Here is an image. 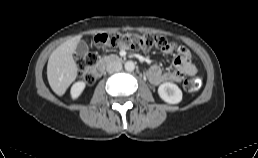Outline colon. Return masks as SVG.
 <instances>
[{
	"mask_svg": "<svg viewBox=\"0 0 258 158\" xmlns=\"http://www.w3.org/2000/svg\"><path fill=\"white\" fill-rule=\"evenodd\" d=\"M95 44L101 49L112 47H121L124 49H160L163 51H172L177 46L163 36L136 33H102L95 36ZM96 56L92 53H83L77 57V65L82 77L90 82L86 74L88 68L96 63ZM184 89L189 93H195L201 88V79L191 77L184 81Z\"/></svg>",
	"mask_w": 258,
	"mask_h": 158,
	"instance_id": "1",
	"label": "colon"
}]
</instances>
